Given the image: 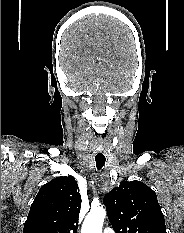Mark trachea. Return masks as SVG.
<instances>
[{
	"instance_id": "1",
	"label": "trachea",
	"mask_w": 184,
	"mask_h": 233,
	"mask_svg": "<svg viewBox=\"0 0 184 233\" xmlns=\"http://www.w3.org/2000/svg\"><path fill=\"white\" fill-rule=\"evenodd\" d=\"M106 157L102 149H98L95 155L97 169H101L105 165Z\"/></svg>"
}]
</instances>
